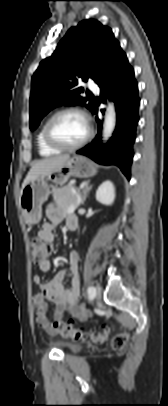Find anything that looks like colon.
Masks as SVG:
<instances>
[{
  "label": "colon",
  "instance_id": "obj_1",
  "mask_svg": "<svg viewBox=\"0 0 168 406\" xmlns=\"http://www.w3.org/2000/svg\"><path fill=\"white\" fill-rule=\"evenodd\" d=\"M32 258L33 262L37 265L44 264L52 253V247L50 244L42 241L39 238H34L31 242ZM56 331L65 337H69L75 340L91 341L95 344H102L107 338V334H94L87 333L81 329L75 328L72 323L62 320H56L53 324ZM127 343V335L119 334L112 339V347L116 351H120L125 348Z\"/></svg>",
  "mask_w": 168,
  "mask_h": 406
}]
</instances>
